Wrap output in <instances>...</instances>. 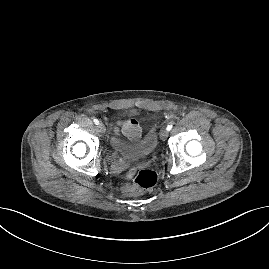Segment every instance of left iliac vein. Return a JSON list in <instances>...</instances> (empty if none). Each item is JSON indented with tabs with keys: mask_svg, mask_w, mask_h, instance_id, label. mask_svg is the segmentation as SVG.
<instances>
[{
	"mask_svg": "<svg viewBox=\"0 0 269 269\" xmlns=\"http://www.w3.org/2000/svg\"><path fill=\"white\" fill-rule=\"evenodd\" d=\"M167 136H168V131H167L166 129H162V130L160 131V138H161L162 140H165V139L167 138Z\"/></svg>",
	"mask_w": 269,
	"mask_h": 269,
	"instance_id": "4c4485c4",
	"label": "left iliac vein"
}]
</instances>
